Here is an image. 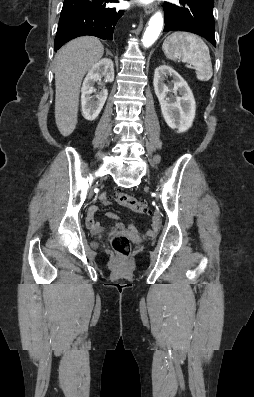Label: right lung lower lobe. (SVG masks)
I'll return each instance as SVG.
<instances>
[{
    "label": "right lung lower lobe",
    "instance_id": "obj_1",
    "mask_svg": "<svg viewBox=\"0 0 254 397\" xmlns=\"http://www.w3.org/2000/svg\"><path fill=\"white\" fill-rule=\"evenodd\" d=\"M104 2L119 1L64 0L54 50H58L69 40L83 35L111 40L124 12L116 8H108Z\"/></svg>",
    "mask_w": 254,
    "mask_h": 397
}]
</instances>
